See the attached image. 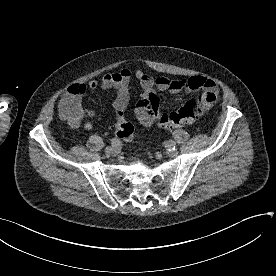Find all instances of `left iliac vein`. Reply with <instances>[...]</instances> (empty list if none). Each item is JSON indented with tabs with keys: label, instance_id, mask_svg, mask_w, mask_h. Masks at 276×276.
<instances>
[{
	"label": "left iliac vein",
	"instance_id": "4c4485c4",
	"mask_svg": "<svg viewBox=\"0 0 276 276\" xmlns=\"http://www.w3.org/2000/svg\"><path fill=\"white\" fill-rule=\"evenodd\" d=\"M177 154H178V150L177 149H169L168 150V155L170 156V157H175V156H177Z\"/></svg>",
	"mask_w": 276,
	"mask_h": 276
}]
</instances>
